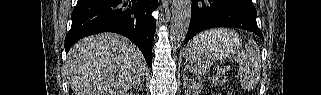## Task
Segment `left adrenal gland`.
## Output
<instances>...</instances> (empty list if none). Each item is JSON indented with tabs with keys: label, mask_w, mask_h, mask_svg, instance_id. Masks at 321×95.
Segmentation results:
<instances>
[{
	"label": "left adrenal gland",
	"mask_w": 321,
	"mask_h": 95,
	"mask_svg": "<svg viewBox=\"0 0 321 95\" xmlns=\"http://www.w3.org/2000/svg\"><path fill=\"white\" fill-rule=\"evenodd\" d=\"M186 87H187V81L186 79H184V89H186Z\"/></svg>",
	"instance_id": "1"
}]
</instances>
